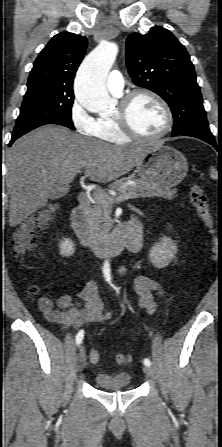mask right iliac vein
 Instances as JSON below:
<instances>
[{"mask_svg": "<svg viewBox=\"0 0 222 447\" xmlns=\"http://www.w3.org/2000/svg\"><path fill=\"white\" fill-rule=\"evenodd\" d=\"M86 364V350L85 347L82 345L79 349L78 354V370L82 371Z\"/></svg>", "mask_w": 222, "mask_h": 447, "instance_id": "obj_1", "label": "right iliac vein"}]
</instances>
